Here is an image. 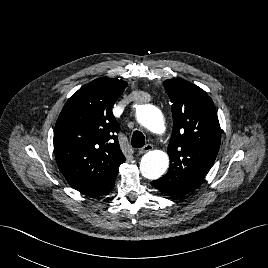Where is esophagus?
<instances>
[{
    "mask_svg": "<svg viewBox=\"0 0 268 268\" xmlns=\"http://www.w3.org/2000/svg\"><path fill=\"white\" fill-rule=\"evenodd\" d=\"M152 149H153V145L152 144H147V145H145L143 148H141L139 150V153L144 154V153H147V152L151 151Z\"/></svg>",
    "mask_w": 268,
    "mask_h": 268,
    "instance_id": "esophagus-1",
    "label": "esophagus"
}]
</instances>
